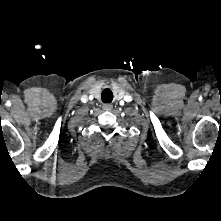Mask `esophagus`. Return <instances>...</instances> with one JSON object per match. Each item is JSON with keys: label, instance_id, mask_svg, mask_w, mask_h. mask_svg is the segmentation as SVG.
<instances>
[{"label": "esophagus", "instance_id": "obj_1", "mask_svg": "<svg viewBox=\"0 0 221 221\" xmlns=\"http://www.w3.org/2000/svg\"><path fill=\"white\" fill-rule=\"evenodd\" d=\"M103 109L104 110H111L112 109V105L111 104H104L103 105Z\"/></svg>", "mask_w": 221, "mask_h": 221}]
</instances>
